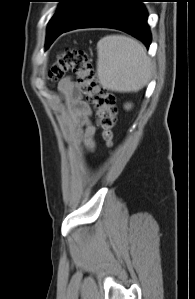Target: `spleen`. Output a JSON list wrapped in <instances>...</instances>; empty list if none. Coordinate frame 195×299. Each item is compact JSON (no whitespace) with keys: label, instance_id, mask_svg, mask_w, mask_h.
<instances>
[{"label":"spleen","instance_id":"3e777b00","mask_svg":"<svg viewBox=\"0 0 195 299\" xmlns=\"http://www.w3.org/2000/svg\"><path fill=\"white\" fill-rule=\"evenodd\" d=\"M97 77L104 89L136 92L149 82L151 60L146 48L123 35H109L97 44Z\"/></svg>","mask_w":195,"mask_h":299}]
</instances>
